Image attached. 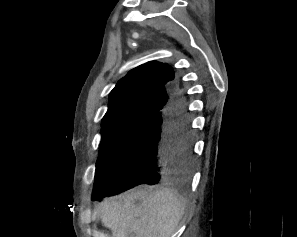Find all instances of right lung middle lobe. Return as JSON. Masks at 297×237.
Returning a JSON list of instances; mask_svg holds the SVG:
<instances>
[{
	"mask_svg": "<svg viewBox=\"0 0 297 237\" xmlns=\"http://www.w3.org/2000/svg\"><path fill=\"white\" fill-rule=\"evenodd\" d=\"M151 117L133 116L102 125L93 194L118 183L120 169Z\"/></svg>",
	"mask_w": 297,
	"mask_h": 237,
	"instance_id": "obj_1",
	"label": "right lung middle lobe"
}]
</instances>
